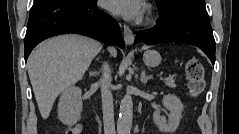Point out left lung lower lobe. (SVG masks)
I'll use <instances>...</instances> for the list:
<instances>
[{"instance_id":"obj_1","label":"left lung lower lobe","mask_w":239,"mask_h":134,"mask_svg":"<svg viewBox=\"0 0 239 134\" xmlns=\"http://www.w3.org/2000/svg\"><path fill=\"white\" fill-rule=\"evenodd\" d=\"M160 44L182 42L199 47L215 63V40L205 0H183L168 13L160 15L157 25L139 31L135 43Z\"/></svg>"}]
</instances>
